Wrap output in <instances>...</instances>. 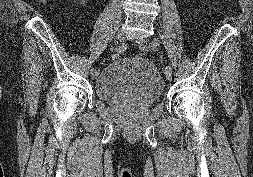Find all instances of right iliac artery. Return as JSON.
Here are the masks:
<instances>
[{
	"label": "right iliac artery",
	"mask_w": 253,
	"mask_h": 177,
	"mask_svg": "<svg viewBox=\"0 0 253 177\" xmlns=\"http://www.w3.org/2000/svg\"><path fill=\"white\" fill-rule=\"evenodd\" d=\"M125 49H126V46H125L124 43H123V44L117 46L114 50H116L117 52H122V51H124ZM94 63H97V60H94ZM96 69H97V66H96L95 64H92V65L90 66V72H91V73H94Z\"/></svg>",
	"instance_id": "obj_1"
}]
</instances>
